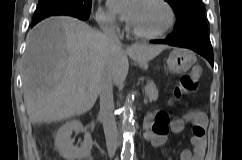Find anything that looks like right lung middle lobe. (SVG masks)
<instances>
[{
    "label": "right lung middle lobe",
    "instance_id": "right-lung-middle-lobe-1",
    "mask_svg": "<svg viewBox=\"0 0 242 160\" xmlns=\"http://www.w3.org/2000/svg\"><path fill=\"white\" fill-rule=\"evenodd\" d=\"M92 0H39L32 22L55 15H68L86 20L90 16Z\"/></svg>",
    "mask_w": 242,
    "mask_h": 160
}]
</instances>
